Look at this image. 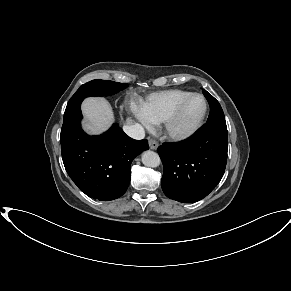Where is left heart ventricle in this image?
I'll list each match as a JSON object with an SVG mask.
<instances>
[{
  "mask_svg": "<svg viewBox=\"0 0 291 291\" xmlns=\"http://www.w3.org/2000/svg\"><path fill=\"white\" fill-rule=\"evenodd\" d=\"M203 101L199 97L192 98L176 123L177 130H185L193 126L203 111Z\"/></svg>",
  "mask_w": 291,
  "mask_h": 291,
  "instance_id": "left-heart-ventricle-1",
  "label": "left heart ventricle"
}]
</instances>
